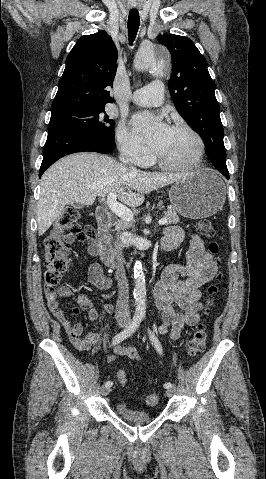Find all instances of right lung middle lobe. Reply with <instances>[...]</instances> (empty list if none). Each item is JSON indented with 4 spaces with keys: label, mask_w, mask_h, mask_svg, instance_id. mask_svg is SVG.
I'll return each mask as SVG.
<instances>
[{
    "label": "right lung middle lobe",
    "mask_w": 266,
    "mask_h": 479,
    "mask_svg": "<svg viewBox=\"0 0 266 479\" xmlns=\"http://www.w3.org/2000/svg\"><path fill=\"white\" fill-rule=\"evenodd\" d=\"M62 128L114 141V121L104 107L75 108L51 114L49 128Z\"/></svg>",
    "instance_id": "1"
}]
</instances>
